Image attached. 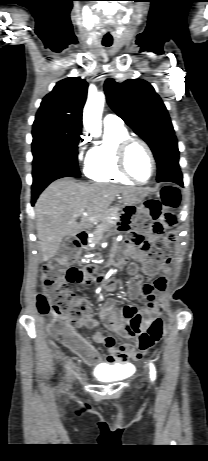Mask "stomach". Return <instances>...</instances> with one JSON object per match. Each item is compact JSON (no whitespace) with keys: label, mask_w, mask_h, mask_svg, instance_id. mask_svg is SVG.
Wrapping results in <instances>:
<instances>
[{"label":"stomach","mask_w":208,"mask_h":461,"mask_svg":"<svg viewBox=\"0 0 208 461\" xmlns=\"http://www.w3.org/2000/svg\"><path fill=\"white\" fill-rule=\"evenodd\" d=\"M147 195V192L143 189H138L136 191L126 193L122 195L123 205L125 204H139L143 198Z\"/></svg>","instance_id":"0dacf381"}]
</instances>
